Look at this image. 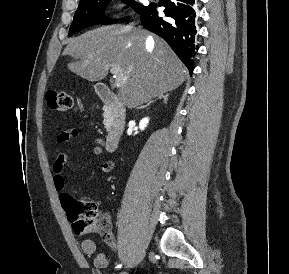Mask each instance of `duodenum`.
<instances>
[{"instance_id": "1", "label": "duodenum", "mask_w": 289, "mask_h": 274, "mask_svg": "<svg viewBox=\"0 0 289 274\" xmlns=\"http://www.w3.org/2000/svg\"><path fill=\"white\" fill-rule=\"evenodd\" d=\"M96 90L111 117L110 128L104 143L105 149L108 152H114L117 150L123 134L126 116L125 109L116 95L105 84H98Z\"/></svg>"}]
</instances>
